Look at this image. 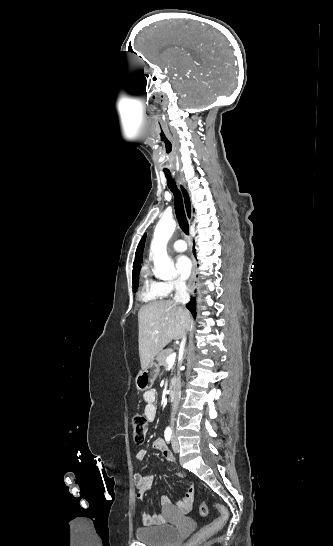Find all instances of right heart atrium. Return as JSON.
Instances as JSON below:
<instances>
[{"mask_svg":"<svg viewBox=\"0 0 333 546\" xmlns=\"http://www.w3.org/2000/svg\"><path fill=\"white\" fill-rule=\"evenodd\" d=\"M184 282L176 279L158 282L159 291L163 296H170L172 293L184 288Z\"/></svg>","mask_w":333,"mask_h":546,"instance_id":"d8ad5b80","label":"right heart atrium"}]
</instances>
